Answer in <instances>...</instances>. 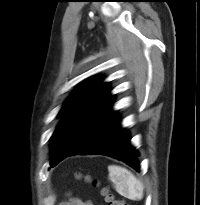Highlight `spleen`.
<instances>
[{
  "mask_svg": "<svg viewBox=\"0 0 200 205\" xmlns=\"http://www.w3.org/2000/svg\"><path fill=\"white\" fill-rule=\"evenodd\" d=\"M108 171L109 179L120 195L131 200H141L143 198V184L132 172L117 165L108 166Z\"/></svg>",
  "mask_w": 200,
  "mask_h": 205,
  "instance_id": "1",
  "label": "spleen"
}]
</instances>
